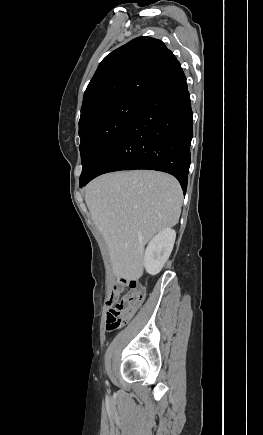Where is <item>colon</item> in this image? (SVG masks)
I'll return each instance as SVG.
<instances>
[{"mask_svg": "<svg viewBox=\"0 0 263 435\" xmlns=\"http://www.w3.org/2000/svg\"><path fill=\"white\" fill-rule=\"evenodd\" d=\"M115 289L125 293L107 311L108 331L116 330L127 323L141 306L145 295L142 285L134 279L118 281Z\"/></svg>", "mask_w": 263, "mask_h": 435, "instance_id": "obj_1", "label": "colon"}]
</instances>
